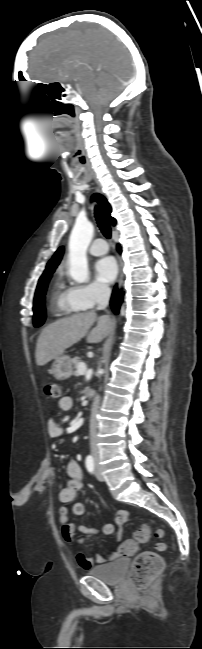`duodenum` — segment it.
<instances>
[{
    "instance_id": "obj_1",
    "label": "duodenum",
    "mask_w": 202,
    "mask_h": 649,
    "mask_svg": "<svg viewBox=\"0 0 202 649\" xmlns=\"http://www.w3.org/2000/svg\"><path fill=\"white\" fill-rule=\"evenodd\" d=\"M86 395H87L88 397H95V396H96V392H95V390H93V389H87V390H86Z\"/></svg>"
}]
</instances>
